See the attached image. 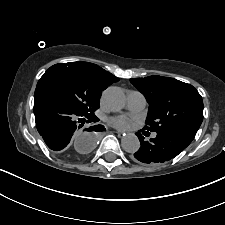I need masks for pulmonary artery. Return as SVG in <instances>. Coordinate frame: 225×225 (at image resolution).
<instances>
[{
    "mask_svg": "<svg viewBox=\"0 0 225 225\" xmlns=\"http://www.w3.org/2000/svg\"><path fill=\"white\" fill-rule=\"evenodd\" d=\"M147 104L145 96L138 92L131 90L127 94V108L130 111L137 112L141 111L145 108ZM156 134H153V137H155Z\"/></svg>",
    "mask_w": 225,
    "mask_h": 225,
    "instance_id": "pulmonary-artery-1",
    "label": "pulmonary artery"
}]
</instances>
